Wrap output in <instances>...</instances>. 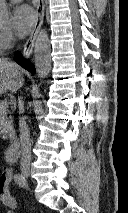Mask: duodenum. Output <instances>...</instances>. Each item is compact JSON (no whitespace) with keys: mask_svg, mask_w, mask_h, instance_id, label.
<instances>
[{"mask_svg":"<svg viewBox=\"0 0 128 213\" xmlns=\"http://www.w3.org/2000/svg\"><path fill=\"white\" fill-rule=\"evenodd\" d=\"M21 144L17 135H13L10 138V145L5 150V159L7 162H13L16 160L20 153Z\"/></svg>","mask_w":128,"mask_h":213,"instance_id":"duodenum-1","label":"duodenum"}]
</instances>
